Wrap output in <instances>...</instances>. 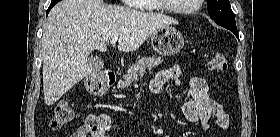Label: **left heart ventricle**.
Returning a JSON list of instances; mask_svg holds the SVG:
<instances>
[{"label":"left heart ventricle","mask_w":280,"mask_h":137,"mask_svg":"<svg viewBox=\"0 0 280 137\" xmlns=\"http://www.w3.org/2000/svg\"><path fill=\"white\" fill-rule=\"evenodd\" d=\"M196 2V0H168V3L171 7H182V6H191Z\"/></svg>","instance_id":"obj_1"}]
</instances>
